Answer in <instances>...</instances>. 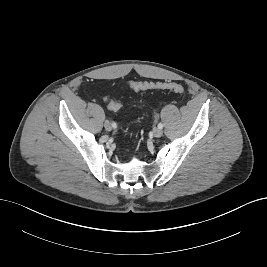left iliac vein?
I'll use <instances>...</instances> for the list:
<instances>
[{"mask_svg": "<svg viewBox=\"0 0 267 267\" xmlns=\"http://www.w3.org/2000/svg\"><path fill=\"white\" fill-rule=\"evenodd\" d=\"M153 134H154L155 137H161L162 134H163V131L159 127H156L153 130Z\"/></svg>", "mask_w": 267, "mask_h": 267, "instance_id": "1", "label": "left iliac vein"}]
</instances>
